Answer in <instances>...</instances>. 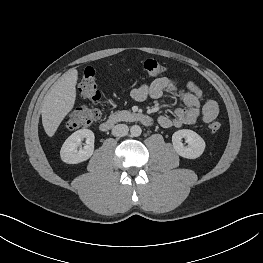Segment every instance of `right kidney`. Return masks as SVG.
<instances>
[{"label": "right kidney", "instance_id": "ca27d5eb", "mask_svg": "<svg viewBox=\"0 0 263 263\" xmlns=\"http://www.w3.org/2000/svg\"><path fill=\"white\" fill-rule=\"evenodd\" d=\"M86 140L85 146L78 148L82 140ZM94 133L89 129H80L70 135L64 142L60 150L63 162L77 164L89 159L94 151Z\"/></svg>", "mask_w": 263, "mask_h": 263}]
</instances>
